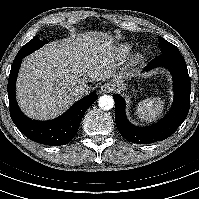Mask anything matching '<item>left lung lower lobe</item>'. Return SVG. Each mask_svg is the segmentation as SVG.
I'll return each mask as SVG.
<instances>
[{"label": "left lung lower lobe", "instance_id": "obj_1", "mask_svg": "<svg viewBox=\"0 0 199 199\" xmlns=\"http://www.w3.org/2000/svg\"><path fill=\"white\" fill-rule=\"evenodd\" d=\"M163 66L173 76L174 102L170 112L157 124L148 127H136L125 116V102L114 95L115 123L120 134L129 142L149 144L162 141L171 136L182 124L190 108L191 83L186 62L179 51L164 52L148 63L146 70Z\"/></svg>", "mask_w": 199, "mask_h": 199}]
</instances>
